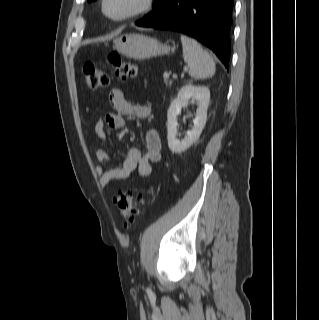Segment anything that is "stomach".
Listing matches in <instances>:
<instances>
[{"instance_id":"obj_1","label":"stomach","mask_w":319,"mask_h":320,"mask_svg":"<svg viewBox=\"0 0 319 320\" xmlns=\"http://www.w3.org/2000/svg\"><path fill=\"white\" fill-rule=\"evenodd\" d=\"M113 43L120 54L136 60L169 54L171 51L170 46L157 39L137 33L123 34L114 39Z\"/></svg>"}]
</instances>
